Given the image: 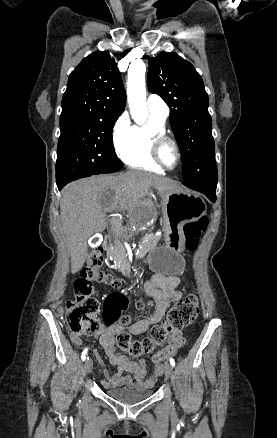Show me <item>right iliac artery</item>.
Returning <instances> with one entry per match:
<instances>
[{
  "label": "right iliac artery",
  "instance_id": "82829eb1",
  "mask_svg": "<svg viewBox=\"0 0 277 438\" xmlns=\"http://www.w3.org/2000/svg\"><path fill=\"white\" fill-rule=\"evenodd\" d=\"M87 352H88L87 348L82 352L81 358H82L83 361L86 359Z\"/></svg>",
  "mask_w": 277,
  "mask_h": 438
}]
</instances>
